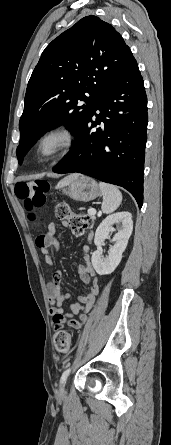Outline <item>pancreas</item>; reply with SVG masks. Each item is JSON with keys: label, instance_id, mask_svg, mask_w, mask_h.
I'll list each match as a JSON object with an SVG mask.
<instances>
[{"label": "pancreas", "instance_id": "obj_1", "mask_svg": "<svg viewBox=\"0 0 171 445\" xmlns=\"http://www.w3.org/2000/svg\"><path fill=\"white\" fill-rule=\"evenodd\" d=\"M88 215H89V217H90L92 220L95 219V215H91L89 212H88Z\"/></svg>", "mask_w": 171, "mask_h": 445}]
</instances>
